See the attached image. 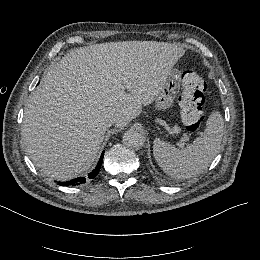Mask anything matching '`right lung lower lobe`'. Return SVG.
<instances>
[{
    "label": "right lung lower lobe",
    "instance_id": "right-lung-lower-lobe-1",
    "mask_svg": "<svg viewBox=\"0 0 260 260\" xmlns=\"http://www.w3.org/2000/svg\"><path fill=\"white\" fill-rule=\"evenodd\" d=\"M103 156H104V152L102 153L96 168L88 174V177H86V178L85 177H78V178L72 179L70 181L58 182V185H61V186H80V185L84 184L88 179L95 178L100 171V167H101V164H102V161H103Z\"/></svg>",
    "mask_w": 260,
    "mask_h": 260
}]
</instances>
